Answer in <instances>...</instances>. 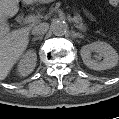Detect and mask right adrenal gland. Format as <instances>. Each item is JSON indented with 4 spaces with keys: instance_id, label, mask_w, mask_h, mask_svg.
Listing matches in <instances>:
<instances>
[{
    "instance_id": "right-adrenal-gland-1",
    "label": "right adrenal gland",
    "mask_w": 119,
    "mask_h": 119,
    "mask_svg": "<svg viewBox=\"0 0 119 119\" xmlns=\"http://www.w3.org/2000/svg\"><path fill=\"white\" fill-rule=\"evenodd\" d=\"M42 37H43V36H37V37H34V38H33V41H36V40H42Z\"/></svg>"
}]
</instances>
